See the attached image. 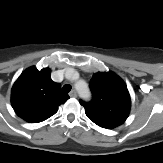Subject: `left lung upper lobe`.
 <instances>
[{
  "instance_id": "1",
  "label": "left lung upper lobe",
  "mask_w": 163,
  "mask_h": 163,
  "mask_svg": "<svg viewBox=\"0 0 163 163\" xmlns=\"http://www.w3.org/2000/svg\"><path fill=\"white\" fill-rule=\"evenodd\" d=\"M92 100L80 104L87 117L100 127L115 128L125 122L131 107L126 84L113 72H98L90 81Z\"/></svg>"
}]
</instances>
